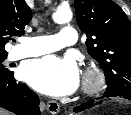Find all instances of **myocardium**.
Returning <instances> with one entry per match:
<instances>
[{"label": "myocardium", "mask_w": 131, "mask_h": 115, "mask_svg": "<svg viewBox=\"0 0 131 115\" xmlns=\"http://www.w3.org/2000/svg\"><path fill=\"white\" fill-rule=\"evenodd\" d=\"M106 85V75L97 65H91L84 71L82 91L86 95L100 92Z\"/></svg>", "instance_id": "f54148a6"}]
</instances>
